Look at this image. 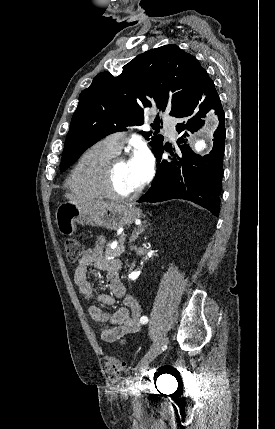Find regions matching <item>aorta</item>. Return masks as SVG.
<instances>
[{
	"label": "aorta",
	"mask_w": 275,
	"mask_h": 429,
	"mask_svg": "<svg viewBox=\"0 0 275 429\" xmlns=\"http://www.w3.org/2000/svg\"><path fill=\"white\" fill-rule=\"evenodd\" d=\"M211 123H212V121H211ZM205 139H206L205 134H199L197 137H195V139H194L195 148L198 152H201L206 148L207 143H206Z\"/></svg>",
	"instance_id": "1"
}]
</instances>
